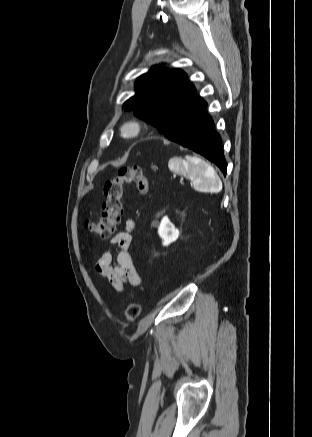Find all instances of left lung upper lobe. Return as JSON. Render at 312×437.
Returning <instances> with one entry per match:
<instances>
[{
  "instance_id": "left-lung-upper-lobe-1",
  "label": "left lung upper lobe",
  "mask_w": 312,
  "mask_h": 437,
  "mask_svg": "<svg viewBox=\"0 0 312 437\" xmlns=\"http://www.w3.org/2000/svg\"><path fill=\"white\" fill-rule=\"evenodd\" d=\"M136 94L127 100L124 110H134L140 119L155 126L173 141L203 110L206 102L196 94L186 74L177 69L152 67L137 78Z\"/></svg>"
}]
</instances>
